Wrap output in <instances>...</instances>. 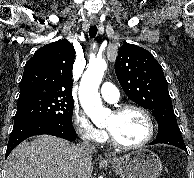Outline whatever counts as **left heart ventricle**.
<instances>
[{"mask_svg":"<svg viewBox=\"0 0 194 178\" xmlns=\"http://www.w3.org/2000/svg\"><path fill=\"white\" fill-rule=\"evenodd\" d=\"M105 127L125 144L139 143L148 134V123L145 117L135 110L120 115L112 113L107 119Z\"/></svg>","mask_w":194,"mask_h":178,"instance_id":"1","label":"left heart ventricle"}]
</instances>
